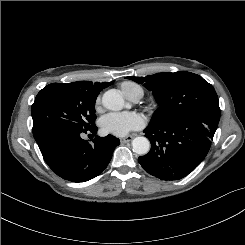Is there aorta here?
Wrapping results in <instances>:
<instances>
[{"label":"aorta","mask_w":245,"mask_h":245,"mask_svg":"<svg viewBox=\"0 0 245 245\" xmlns=\"http://www.w3.org/2000/svg\"><path fill=\"white\" fill-rule=\"evenodd\" d=\"M103 106L112 111H119L124 107V99L116 89H110L103 94ZM133 151L138 155H145L150 150V142L146 137H136L132 140Z\"/></svg>","instance_id":"aorta-1"}]
</instances>
